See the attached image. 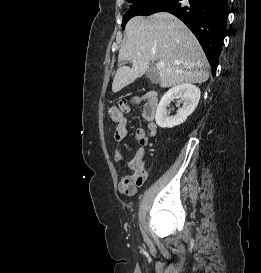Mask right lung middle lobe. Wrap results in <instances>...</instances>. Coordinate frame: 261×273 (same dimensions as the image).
Wrapping results in <instances>:
<instances>
[{
    "instance_id": "right-lung-middle-lobe-1",
    "label": "right lung middle lobe",
    "mask_w": 261,
    "mask_h": 273,
    "mask_svg": "<svg viewBox=\"0 0 261 273\" xmlns=\"http://www.w3.org/2000/svg\"><path fill=\"white\" fill-rule=\"evenodd\" d=\"M156 0H128V2L131 4V9L124 15V19L122 22V28L124 29L126 23L128 22L129 19L136 15H140L141 9L154 2Z\"/></svg>"
}]
</instances>
